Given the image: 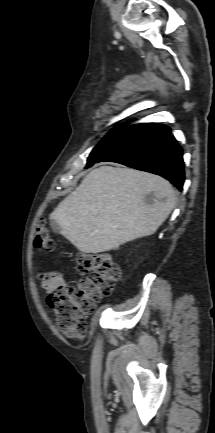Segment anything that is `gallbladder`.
I'll use <instances>...</instances> for the list:
<instances>
[{
  "instance_id": "gallbladder-1",
  "label": "gallbladder",
  "mask_w": 215,
  "mask_h": 433,
  "mask_svg": "<svg viewBox=\"0 0 215 433\" xmlns=\"http://www.w3.org/2000/svg\"><path fill=\"white\" fill-rule=\"evenodd\" d=\"M50 226L55 233H58V234L60 233V227L57 225V223L55 221L51 220Z\"/></svg>"
}]
</instances>
